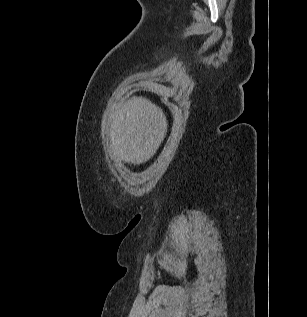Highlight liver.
<instances>
[{"instance_id":"1","label":"liver","mask_w":307,"mask_h":317,"mask_svg":"<svg viewBox=\"0 0 307 317\" xmlns=\"http://www.w3.org/2000/svg\"><path fill=\"white\" fill-rule=\"evenodd\" d=\"M167 128L161 108L134 96L111 115V152L126 163H144L158 150Z\"/></svg>"}]
</instances>
